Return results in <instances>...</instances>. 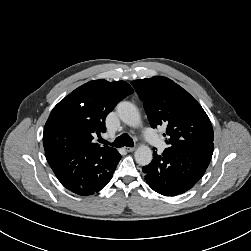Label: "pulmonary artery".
Returning <instances> with one entry per match:
<instances>
[{"instance_id":"pulmonary-artery-1","label":"pulmonary artery","mask_w":251,"mask_h":251,"mask_svg":"<svg viewBox=\"0 0 251 251\" xmlns=\"http://www.w3.org/2000/svg\"><path fill=\"white\" fill-rule=\"evenodd\" d=\"M143 135H144V138L146 139V141L150 145H152V146H154V147H156L158 149H163L165 147L164 142H162L157 137V135L153 131H151L150 129L144 130Z\"/></svg>"}]
</instances>
